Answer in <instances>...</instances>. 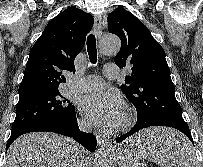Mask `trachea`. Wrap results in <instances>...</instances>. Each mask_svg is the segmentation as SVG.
I'll use <instances>...</instances> for the list:
<instances>
[{
	"label": "trachea",
	"mask_w": 203,
	"mask_h": 167,
	"mask_svg": "<svg viewBox=\"0 0 203 167\" xmlns=\"http://www.w3.org/2000/svg\"><path fill=\"white\" fill-rule=\"evenodd\" d=\"M87 51L90 62L92 64H95L97 62V48H96V38L93 34H90L87 37Z\"/></svg>",
	"instance_id": "3493384b"
}]
</instances>
